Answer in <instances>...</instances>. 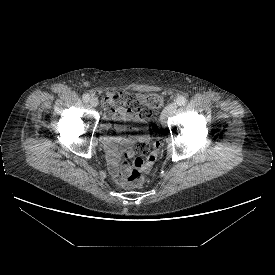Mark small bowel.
Instances as JSON below:
<instances>
[{"label":"small bowel","mask_w":275,"mask_h":275,"mask_svg":"<svg viewBox=\"0 0 275 275\" xmlns=\"http://www.w3.org/2000/svg\"><path fill=\"white\" fill-rule=\"evenodd\" d=\"M141 95L134 98L133 96L123 93V92H107L103 98V105L105 110V120H115L117 122L129 121L137 122L140 121L141 115L133 106L135 100L141 99ZM117 105V106H116ZM103 142L107 149V160L109 165V170L112 174L114 180L118 183H122L124 176L129 171V166L126 162L123 163L121 169L118 163L117 150L121 145L126 151L125 158L130 159L133 156L130 150L131 141L122 140L120 141L118 137H103Z\"/></svg>","instance_id":"c3829d8e"}]
</instances>
